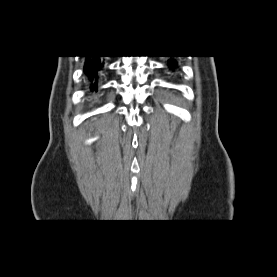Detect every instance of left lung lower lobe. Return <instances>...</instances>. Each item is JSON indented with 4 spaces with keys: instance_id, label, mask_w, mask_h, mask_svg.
<instances>
[{
    "instance_id": "1",
    "label": "left lung lower lobe",
    "mask_w": 277,
    "mask_h": 277,
    "mask_svg": "<svg viewBox=\"0 0 277 277\" xmlns=\"http://www.w3.org/2000/svg\"><path fill=\"white\" fill-rule=\"evenodd\" d=\"M168 66L170 67V69H172V68H174V66H175V63H174V61L172 60H170L169 62H168Z\"/></svg>"
}]
</instances>
